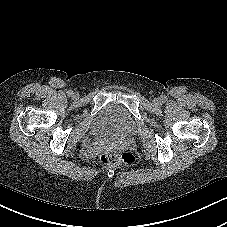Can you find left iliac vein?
I'll return each mask as SVG.
<instances>
[{"label": "left iliac vein", "mask_w": 227, "mask_h": 227, "mask_svg": "<svg viewBox=\"0 0 227 227\" xmlns=\"http://www.w3.org/2000/svg\"><path fill=\"white\" fill-rule=\"evenodd\" d=\"M153 103H154L156 106H160V105L162 104V101H161V99H159V98H155V99L153 100Z\"/></svg>", "instance_id": "left-iliac-vein-1"}]
</instances>
